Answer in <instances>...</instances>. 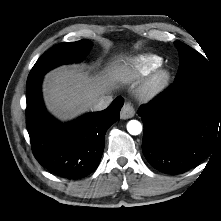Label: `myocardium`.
Listing matches in <instances>:
<instances>
[{"mask_svg": "<svg viewBox=\"0 0 221 221\" xmlns=\"http://www.w3.org/2000/svg\"><path fill=\"white\" fill-rule=\"evenodd\" d=\"M170 80L169 69L160 65L147 75L140 88V96L146 100L158 96L168 87Z\"/></svg>", "mask_w": 221, "mask_h": 221, "instance_id": "obj_1", "label": "myocardium"}]
</instances>
